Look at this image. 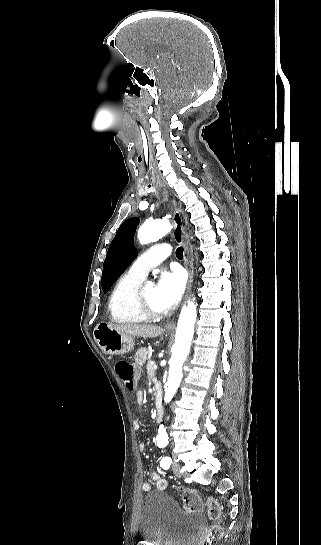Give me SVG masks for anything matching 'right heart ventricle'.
I'll return each instance as SVG.
<instances>
[{
    "mask_svg": "<svg viewBox=\"0 0 321 545\" xmlns=\"http://www.w3.org/2000/svg\"><path fill=\"white\" fill-rule=\"evenodd\" d=\"M142 280L129 272L118 277L107 303L111 322L116 325L130 326L147 321V318L136 312L133 307V293Z\"/></svg>",
    "mask_w": 321,
    "mask_h": 545,
    "instance_id": "obj_1",
    "label": "right heart ventricle"
}]
</instances>
